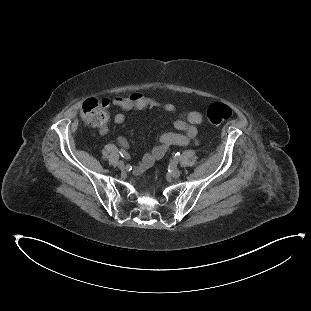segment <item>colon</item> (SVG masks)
Masks as SVG:
<instances>
[{"mask_svg": "<svg viewBox=\"0 0 311 311\" xmlns=\"http://www.w3.org/2000/svg\"><path fill=\"white\" fill-rule=\"evenodd\" d=\"M110 106L111 102L108 99L86 100L81 108V118L86 123L102 128L107 123ZM232 116V108L224 103H214L207 110V118L213 125H219Z\"/></svg>", "mask_w": 311, "mask_h": 311, "instance_id": "5ec220e1", "label": "colon"}]
</instances>
